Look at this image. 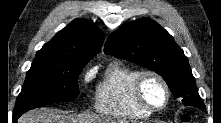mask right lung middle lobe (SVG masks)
I'll use <instances>...</instances> for the list:
<instances>
[{
    "instance_id": "obj_1",
    "label": "right lung middle lobe",
    "mask_w": 221,
    "mask_h": 123,
    "mask_svg": "<svg viewBox=\"0 0 221 123\" xmlns=\"http://www.w3.org/2000/svg\"><path fill=\"white\" fill-rule=\"evenodd\" d=\"M85 62L34 59L21 93L17 97L14 112L68 102L79 94L78 76Z\"/></svg>"
}]
</instances>
